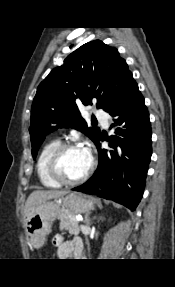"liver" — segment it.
Instances as JSON below:
<instances>
[{
	"mask_svg": "<svg viewBox=\"0 0 175 287\" xmlns=\"http://www.w3.org/2000/svg\"><path fill=\"white\" fill-rule=\"evenodd\" d=\"M68 192L67 191H59V190H36L33 191L24 207V216L27 215V213L32 210L34 207L37 205L41 204L44 201L50 200V199H56V198H61L64 195H66Z\"/></svg>",
	"mask_w": 175,
	"mask_h": 287,
	"instance_id": "1",
	"label": "liver"
}]
</instances>
